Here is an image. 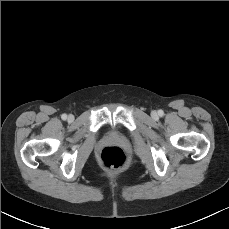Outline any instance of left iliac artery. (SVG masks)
<instances>
[{
  "label": "left iliac artery",
  "mask_w": 229,
  "mask_h": 229,
  "mask_svg": "<svg viewBox=\"0 0 229 229\" xmlns=\"http://www.w3.org/2000/svg\"><path fill=\"white\" fill-rule=\"evenodd\" d=\"M159 116H163L164 112L162 110L158 111Z\"/></svg>",
  "instance_id": "obj_1"
}]
</instances>
